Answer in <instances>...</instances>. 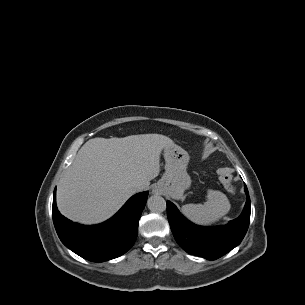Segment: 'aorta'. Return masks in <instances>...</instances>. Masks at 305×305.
<instances>
[{"instance_id":"762f6f07","label":"aorta","mask_w":305,"mask_h":305,"mask_svg":"<svg viewBox=\"0 0 305 305\" xmlns=\"http://www.w3.org/2000/svg\"><path fill=\"white\" fill-rule=\"evenodd\" d=\"M147 206L151 212L161 213L166 210V201L163 197L154 195L148 199Z\"/></svg>"}]
</instances>
